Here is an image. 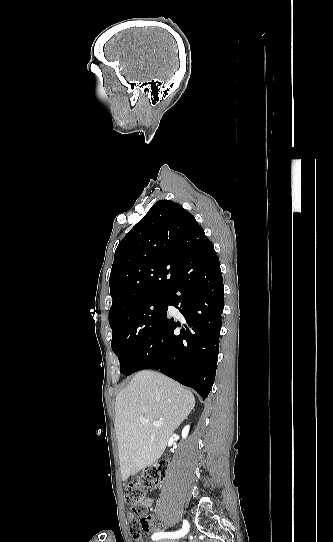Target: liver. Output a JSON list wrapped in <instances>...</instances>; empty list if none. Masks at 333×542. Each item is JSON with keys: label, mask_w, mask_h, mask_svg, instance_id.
<instances>
[{"label": "liver", "mask_w": 333, "mask_h": 542, "mask_svg": "<svg viewBox=\"0 0 333 542\" xmlns=\"http://www.w3.org/2000/svg\"><path fill=\"white\" fill-rule=\"evenodd\" d=\"M195 406L192 392L158 372H138L115 402L122 482L161 458L174 430ZM139 418H147V424ZM153 420L163 422L153 426Z\"/></svg>", "instance_id": "obj_1"}]
</instances>
